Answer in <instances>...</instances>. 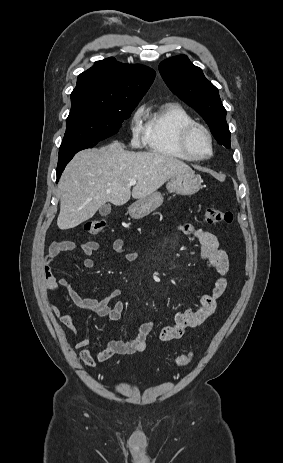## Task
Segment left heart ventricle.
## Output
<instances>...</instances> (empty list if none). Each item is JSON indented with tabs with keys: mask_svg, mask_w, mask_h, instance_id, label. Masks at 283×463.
I'll return each instance as SVG.
<instances>
[{
	"mask_svg": "<svg viewBox=\"0 0 283 463\" xmlns=\"http://www.w3.org/2000/svg\"><path fill=\"white\" fill-rule=\"evenodd\" d=\"M191 146L194 152L200 156L210 153V145L207 136L202 131H195L191 137Z\"/></svg>",
	"mask_w": 283,
	"mask_h": 463,
	"instance_id": "1",
	"label": "left heart ventricle"
}]
</instances>
